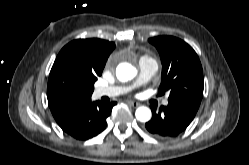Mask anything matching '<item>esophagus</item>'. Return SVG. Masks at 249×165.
<instances>
[{"label":"esophagus","instance_id":"34e87169","mask_svg":"<svg viewBox=\"0 0 249 165\" xmlns=\"http://www.w3.org/2000/svg\"><path fill=\"white\" fill-rule=\"evenodd\" d=\"M127 103L134 108H136L140 105L138 102H135V101H127Z\"/></svg>","mask_w":249,"mask_h":165}]
</instances>
